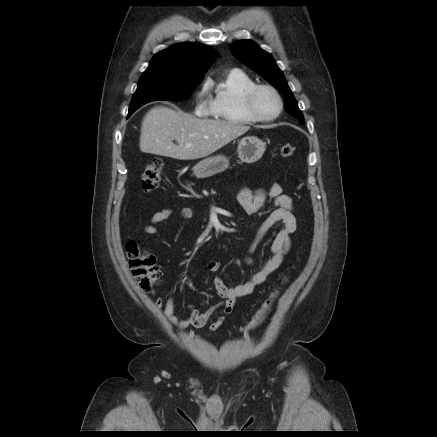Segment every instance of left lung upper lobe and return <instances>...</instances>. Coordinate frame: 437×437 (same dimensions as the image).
<instances>
[{
    "instance_id": "1",
    "label": "left lung upper lobe",
    "mask_w": 437,
    "mask_h": 437,
    "mask_svg": "<svg viewBox=\"0 0 437 437\" xmlns=\"http://www.w3.org/2000/svg\"><path fill=\"white\" fill-rule=\"evenodd\" d=\"M231 52L247 66L251 67L271 85L286 96L285 110L299 119L303 124V114L298 108V103L290 90L280 68L272 56L251 40H242L230 45Z\"/></svg>"
}]
</instances>
